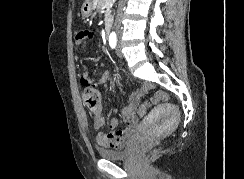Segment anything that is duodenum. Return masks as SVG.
I'll use <instances>...</instances> for the list:
<instances>
[{
    "mask_svg": "<svg viewBox=\"0 0 244 179\" xmlns=\"http://www.w3.org/2000/svg\"><path fill=\"white\" fill-rule=\"evenodd\" d=\"M110 22L109 21H106L105 23H104V26H103V32H104V34L107 36L108 34H109V32H110ZM147 86H143L142 88H146Z\"/></svg>",
    "mask_w": 244,
    "mask_h": 179,
    "instance_id": "1",
    "label": "duodenum"
}]
</instances>
